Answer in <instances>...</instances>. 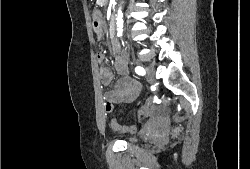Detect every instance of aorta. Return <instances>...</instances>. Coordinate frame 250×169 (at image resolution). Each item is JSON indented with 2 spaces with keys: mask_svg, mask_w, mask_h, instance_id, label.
I'll list each match as a JSON object with an SVG mask.
<instances>
[{
  "mask_svg": "<svg viewBox=\"0 0 250 169\" xmlns=\"http://www.w3.org/2000/svg\"><path fill=\"white\" fill-rule=\"evenodd\" d=\"M116 24H117V34L118 36H122L124 20H123V12L121 8H118L117 10Z\"/></svg>",
  "mask_w": 250,
  "mask_h": 169,
  "instance_id": "obj_1",
  "label": "aorta"
}]
</instances>
